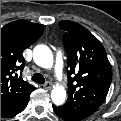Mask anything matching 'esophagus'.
Here are the masks:
<instances>
[{"label": "esophagus", "instance_id": "obj_1", "mask_svg": "<svg viewBox=\"0 0 121 121\" xmlns=\"http://www.w3.org/2000/svg\"><path fill=\"white\" fill-rule=\"evenodd\" d=\"M43 87L46 89V90H50L52 88V84L50 82H46Z\"/></svg>", "mask_w": 121, "mask_h": 121}]
</instances>
